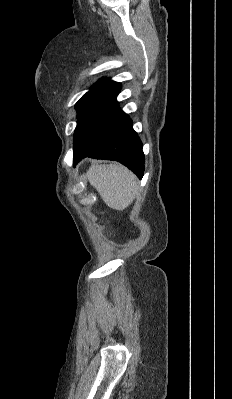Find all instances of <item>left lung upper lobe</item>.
Instances as JSON below:
<instances>
[{"instance_id":"obj_1","label":"left lung upper lobe","mask_w":232,"mask_h":399,"mask_svg":"<svg viewBox=\"0 0 232 399\" xmlns=\"http://www.w3.org/2000/svg\"><path fill=\"white\" fill-rule=\"evenodd\" d=\"M120 83L102 78L76 103L77 126L74 134L73 161L100 146L124 122L125 114L116 97Z\"/></svg>"}]
</instances>
